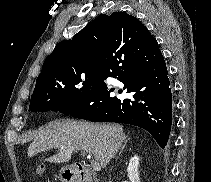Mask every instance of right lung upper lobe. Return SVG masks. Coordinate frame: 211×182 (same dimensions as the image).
I'll return each mask as SVG.
<instances>
[{
    "mask_svg": "<svg viewBox=\"0 0 211 182\" xmlns=\"http://www.w3.org/2000/svg\"><path fill=\"white\" fill-rule=\"evenodd\" d=\"M152 36L135 17L114 12L102 14L73 36L59 42L45 59L36 86L67 78L78 72L100 68L108 45L127 44Z\"/></svg>",
    "mask_w": 211,
    "mask_h": 182,
    "instance_id": "cb5924a9",
    "label": "right lung upper lobe"
}]
</instances>
